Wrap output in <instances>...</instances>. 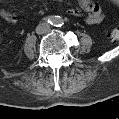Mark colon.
<instances>
[{
  "label": "colon",
  "instance_id": "colon-1",
  "mask_svg": "<svg viewBox=\"0 0 119 119\" xmlns=\"http://www.w3.org/2000/svg\"><path fill=\"white\" fill-rule=\"evenodd\" d=\"M109 37L112 41H117L119 40V28L118 27H114L110 33H109Z\"/></svg>",
  "mask_w": 119,
  "mask_h": 119
}]
</instances>
